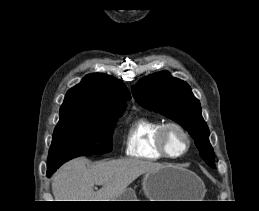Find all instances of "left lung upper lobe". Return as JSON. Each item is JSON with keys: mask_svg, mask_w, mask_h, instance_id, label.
<instances>
[{"mask_svg": "<svg viewBox=\"0 0 259 211\" xmlns=\"http://www.w3.org/2000/svg\"><path fill=\"white\" fill-rule=\"evenodd\" d=\"M135 99L142 106L159 112L184 127L203 160L215 167V154L209 142V129L201 115V106L189 85L162 71L142 79L132 88Z\"/></svg>", "mask_w": 259, "mask_h": 211, "instance_id": "left-lung-upper-lobe-1", "label": "left lung upper lobe"}]
</instances>
